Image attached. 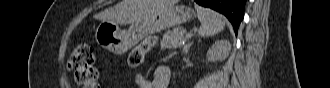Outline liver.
I'll return each instance as SVG.
<instances>
[{
    "instance_id": "obj_1",
    "label": "liver",
    "mask_w": 330,
    "mask_h": 88,
    "mask_svg": "<svg viewBox=\"0 0 330 88\" xmlns=\"http://www.w3.org/2000/svg\"><path fill=\"white\" fill-rule=\"evenodd\" d=\"M176 2V0H122L104 11L101 19L116 24H133Z\"/></svg>"
}]
</instances>
